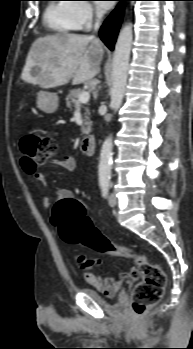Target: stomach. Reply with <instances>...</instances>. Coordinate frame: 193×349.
<instances>
[{
	"instance_id": "obj_1",
	"label": "stomach",
	"mask_w": 193,
	"mask_h": 349,
	"mask_svg": "<svg viewBox=\"0 0 193 349\" xmlns=\"http://www.w3.org/2000/svg\"><path fill=\"white\" fill-rule=\"evenodd\" d=\"M37 105L45 113H54L59 105L57 94L48 91H39L37 94Z\"/></svg>"
}]
</instances>
